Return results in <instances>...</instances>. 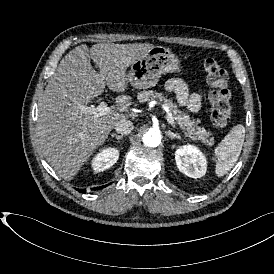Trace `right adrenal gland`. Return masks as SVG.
Segmentation results:
<instances>
[{
  "mask_svg": "<svg viewBox=\"0 0 274 274\" xmlns=\"http://www.w3.org/2000/svg\"><path fill=\"white\" fill-rule=\"evenodd\" d=\"M111 137H112V138H115L118 142H119L120 140L123 139V136H122V135H117V134L111 135Z\"/></svg>",
  "mask_w": 274,
  "mask_h": 274,
  "instance_id": "obj_1",
  "label": "right adrenal gland"
}]
</instances>
